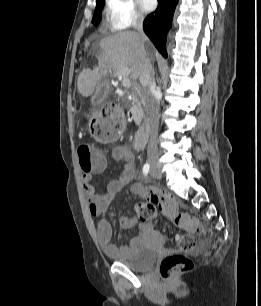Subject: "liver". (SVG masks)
<instances>
[{"label": "liver", "mask_w": 261, "mask_h": 306, "mask_svg": "<svg viewBox=\"0 0 261 306\" xmlns=\"http://www.w3.org/2000/svg\"><path fill=\"white\" fill-rule=\"evenodd\" d=\"M147 38H141L134 31H125L101 39L99 46L102 49V57L98 66L91 69H83L79 74L77 87L79 93L89 97L100 85L107 72L115 74L123 68H129L130 79L140 77L142 60L140 48L144 46Z\"/></svg>", "instance_id": "liver-1"}]
</instances>
